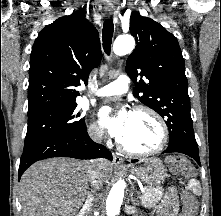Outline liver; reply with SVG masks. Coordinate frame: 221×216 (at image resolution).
Listing matches in <instances>:
<instances>
[{
	"label": "liver",
	"mask_w": 221,
	"mask_h": 216,
	"mask_svg": "<svg viewBox=\"0 0 221 216\" xmlns=\"http://www.w3.org/2000/svg\"><path fill=\"white\" fill-rule=\"evenodd\" d=\"M107 183L112 164L106 159L88 161L51 158L34 163L20 180L21 216H75L89 193L88 168Z\"/></svg>",
	"instance_id": "6515ba94"
}]
</instances>
